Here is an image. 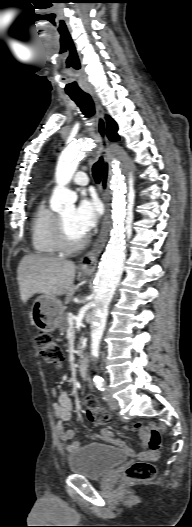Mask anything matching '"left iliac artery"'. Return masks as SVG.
I'll use <instances>...</instances> for the list:
<instances>
[{"mask_svg":"<svg viewBox=\"0 0 192 527\" xmlns=\"http://www.w3.org/2000/svg\"><path fill=\"white\" fill-rule=\"evenodd\" d=\"M96 387L100 390V391H104L105 390V382L103 380H100L96 383Z\"/></svg>","mask_w":192,"mask_h":527,"instance_id":"44dca946","label":"left iliac artery"}]
</instances>
